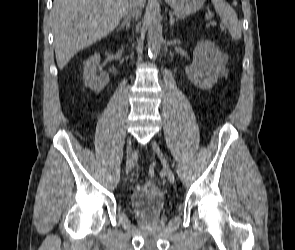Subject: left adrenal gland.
Instances as JSON below:
<instances>
[{"label":"left adrenal gland","instance_id":"obj_1","mask_svg":"<svg viewBox=\"0 0 295 250\" xmlns=\"http://www.w3.org/2000/svg\"><path fill=\"white\" fill-rule=\"evenodd\" d=\"M169 16H170V26H173L175 20H177V19L174 18L173 14L171 12L169 13Z\"/></svg>","mask_w":295,"mask_h":250}]
</instances>
